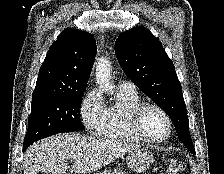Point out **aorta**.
<instances>
[{
  "label": "aorta",
  "instance_id": "aorta-1",
  "mask_svg": "<svg viewBox=\"0 0 224 174\" xmlns=\"http://www.w3.org/2000/svg\"><path fill=\"white\" fill-rule=\"evenodd\" d=\"M111 63L106 58H100L96 64V80L105 92L111 93L113 86L110 84Z\"/></svg>",
  "mask_w": 224,
  "mask_h": 174
}]
</instances>
